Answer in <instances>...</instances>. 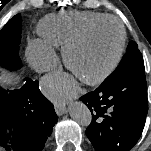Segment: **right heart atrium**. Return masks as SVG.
<instances>
[{"instance_id":"d8ad5b80","label":"right heart atrium","mask_w":151,"mask_h":151,"mask_svg":"<svg viewBox=\"0 0 151 151\" xmlns=\"http://www.w3.org/2000/svg\"><path fill=\"white\" fill-rule=\"evenodd\" d=\"M27 58L31 66L39 72L50 70L56 63L55 50L40 39H33L29 42Z\"/></svg>"}]
</instances>
